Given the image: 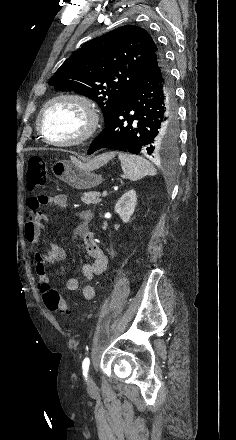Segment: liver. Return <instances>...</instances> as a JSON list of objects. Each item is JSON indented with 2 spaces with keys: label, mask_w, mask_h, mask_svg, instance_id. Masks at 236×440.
Returning a JSON list of instances; mask_svg holds the SVG:
<instances>
[{
  "label": "liver",
  "mask_w": 236,
  "mask_h": 440,
  "mask_svg": "<svg viewBox=\"0 0 236 440\" xmlns=\"http://www.w3.org/2000/svg\"><path fill=\"white\" fill-rule=\"evenodd\" d=\"M113 156H114L113 153L100 155V156L96 157L95 159H93L91 162H89L88 166L93 169L99 168L100 166L107 163V161H109ZM72 159H75V158L72 157Z\"/></svg>",
  "instance_id": "1"
}]
</instances>
